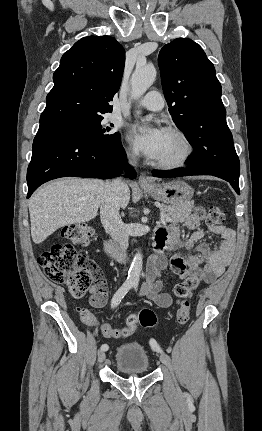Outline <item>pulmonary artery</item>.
I'll return each instance as SVG.
<instances>
[{
    "mask_svg": "<svg viewBox=\"0 0 262 431\" xmlns=\"http://www.w3.org/2000/svg\"><path fill=\"white\" fill-rule=\"evenodd\" d=\"M139 105L151 111H159L164 106V99L159 92L150 91L139 101Z\"/></svg>",
    "mask_w": 262,
    "mask_h": 431,
    "instance_id": "pulmonary-artery-1",
    "label": "pulmonary artery"
}]
</instances>
